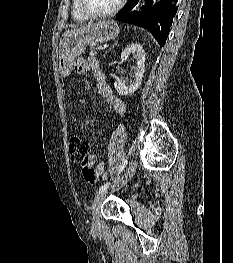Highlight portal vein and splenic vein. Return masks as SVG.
I'll list each match as a JSON object with an SVG mask.
<instances>
[{
    "instance_id": "obj_1",
    "label": "portal vein and splenic vein",
    "mask_w": 233,
    "mask_h": 263,
    "mask_svg": "<svg viewBox=\"0 0 233 263\" xmlns=\"http://www.w3.org/2000/svg\"><path fill=\"white\" fill-rule=\"evenodd\" d=\"M96 54H97V52H95V51H91V52H90V55H91V56H95Z\"/></svg>"
}]
</instances>
